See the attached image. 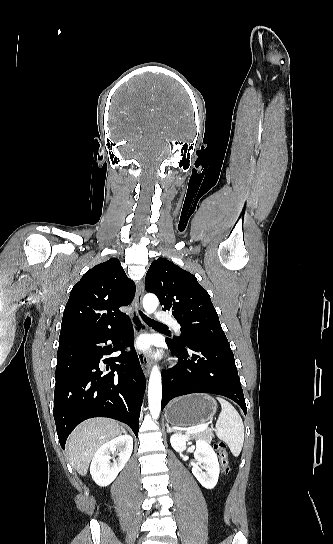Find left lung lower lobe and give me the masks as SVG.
<instances>
[{
  "label": "left lung lower lobe",
  "instance_id": "1",
  "mask_svg": "<svg viewBox=\"0 0 333 544\" xmlns=\"http://www.w3.org/2000/svg\"><path fill=\"white\" fill-rule=\"evenodd\" d=\"M178 364L162 371V405L191 393H211L235 401L246 415V403L228 342L200 339L185 345L166 338Z\"/></svg>",
  "mask_w": 333,
  "mask_h": 544
}]
</instances>
